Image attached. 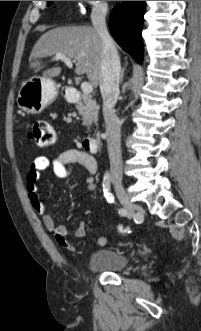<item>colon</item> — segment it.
Masks as SVG:
<instances>
[{"instance_id":"obj_1","label":"colon","mask_w":201,"mask_h":331,"mask_svg":"<svg viewBox=\"0 0 201 331\" xmlns=\"http://www.w3.org/2000/svg\"><path fill=\"white\" fill-rule=\"evenodd\" d=\"M31 133L38 146L45 147L52 145L56 140V133L49 121L37 119L33 122Z\"/></svg>"}]
</instances>
